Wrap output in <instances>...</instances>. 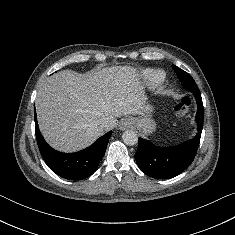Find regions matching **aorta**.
I'll return each mask as SVG.
<instances>
[{
	"mask_svg": "<svg viewBox=\"0 0 235 235\" xmlns=\"http://www.w3.org/2000/svg\"><path fill=\"white\" fill-rule=\"evenodd\" d=\"M122 140L126 145L132 146L137 144L138 142V135L135 131L133 130H126L122 134Z\"/></svg>",
	"mask_w": 235,
	"mask_h": 235,
	"instance_id": "obj_1",
	"label": "aorta"
}]
</instances>
